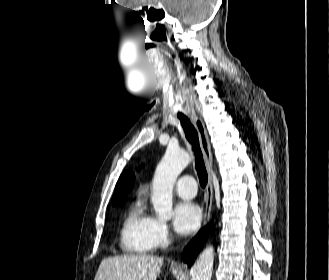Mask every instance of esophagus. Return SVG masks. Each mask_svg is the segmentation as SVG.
<instances>
[{
  "label": "esophagus",
  "instance_id": "esophagus-1",
  "mask_svg": "<svg viewBox=\"0 0 329 280\" xmlns=\"http://www.w3.org/2000/svg\"><path fill=\"white\" fill-rule=\"evenodd\" d=\"M191 120L198 132L199 140L201 149L204 155V161L205 165L208 171V183L206 186V192H205V211L203 216V226H205L210 218L211 214V207H212V199H213V184H212V152H211V146L208 138V134L205 128V125L202 121V119L196 114L191 113L190 114Z\"/></svg>",
  "mask_w": 329,
  "mask_h": 280
}]
</instances>
